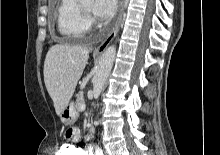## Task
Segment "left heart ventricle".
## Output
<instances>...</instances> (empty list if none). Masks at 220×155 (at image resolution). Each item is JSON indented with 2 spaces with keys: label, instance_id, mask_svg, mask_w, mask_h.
Returning <instances> with one entry per match:
<instances>
[{
  "label": "left heart ventricle",
  "instance_id": "b2bd125f",
  "mask_svg": "<svg viewBox=\"0 0 220 155\" xmlns=\"http://www.w3.org/2000/svg\"><path fill=\"white\" fill-rule=\"evenodd\" d=\"M81 5L85 8V9H87V10H91L92 9V7H93V2L91 1V0H86V1H83L82 3H81Z\"/></svg>",
  "mask_w": 220,
  "mask_h": 155
}]
</instances>
